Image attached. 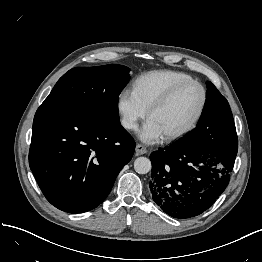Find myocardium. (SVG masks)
Returning <instances> with one entry per match:
<instances>
[{"instance_id":"1","label":"myocardium","mask_w":262,"mask_h":262,"mask_svg":"<svg viewBox=\"0 0 262 262\" xmlns=\"http://www.w3.org/2000/svg\"><path fill=\"white\" fill-rule=\"evenodd\" d=\"M194 85L197 86L201 91V101L199 107L194 114L193 118L190 122L182 129L170 133L164 136L165 140L167 141H175L181 139L191 133L195 127L197 126L198 122L200 121L202 114L204 112L206 103H207V91L206 88L198 81L190 79L183 82H180L173 86L169 91H167L158 101H156L148 110V117L151 118L154 113L165 107L172 98L183 88Z\"/></svg>"}]
</instances>
